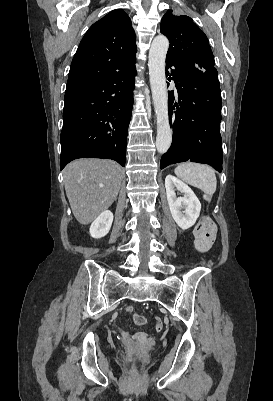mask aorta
Segmentation results:
<instances>
[{"label": "aorta", "mask_w": 273, "mask_h": 401, "mask_svg": "<svg viewBox=\"0 0 273 401\" xmlns=\"http://www.w3.org/2000/svg\"><path fill=\"white\" fill-rule=\"evenodd\" d=\"M168 47L169 41L165 36H156L149 50L148 61L150 86L157 120L156 148L161 154L166 153L172 143L165 77V59Z\"/></svg>", "instance_id": "1"}]
</instances>
